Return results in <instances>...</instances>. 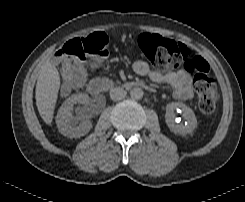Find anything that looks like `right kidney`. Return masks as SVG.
Returning <instances> with one entry per match:
<instances>
[{
  "label": "right kidney",
  "mask_w": 245,
  "mask_h": 202,
  "mask_svg": "<svg viewBox=\"0 0 245 202\" xmlns=\"http://www.w3.org/2000/svg\"><path fill=\"white\" fill-rule=\"evenodd\" d=\"M89 96L85 93L74 94L63 102L56 116V124L59 132L70 138H79L87 134L92 128V123L85 120L83 110L80 107L74 109L76 104H85ZM75 110L76 116H73ZM82 121L79 125L78 122Z\"/></svg>",
  "instance_id": "obj_1"
}]
</instances>
